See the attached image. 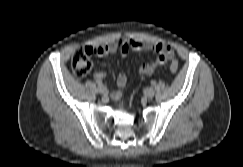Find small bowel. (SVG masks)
<instances>
[{
  "label": "small bowel",
  "mask_w": 243,
  "mask_h": 167,
  "mask_svg": "<svg viewBox=\"0 0 243 167\" xmlns=\"http://www.w3.org/2000/svg\"><path fill=\"white\" fill-rule=\"evenodd\" d=\"M93 49L96 56H105L119 53L122 58L127 57L130 50H150L157 54V58L150 62H144L139 67V74L150 76L154 73L155 69L159 66L165 65L170 59L174 57L173 48L162 42L145 43L134 38H121L114 44L106 46H98ZM97 81H102L106 74L102 71H97L93 74ZM127 83V76L124 72H120L117 76V85L120 89L124 88ZM122 96L120 90L115 91L112 95L113 99L118 100Z\"/></svg>",
  "instance_id": "1"
}]
</instances>
